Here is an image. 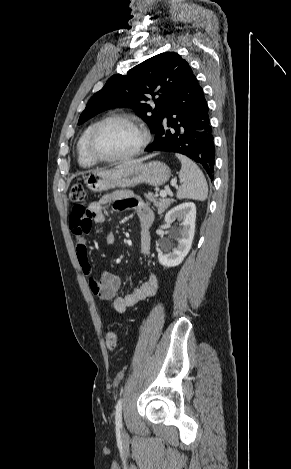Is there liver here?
Instances as JSON below:
<instances>
[{
  "instance_id": "obj_1",
  "label": "liver",
  "mask_w": 291,
  "mask_h": 469,
  "mask_svg": "<svg viewBox=\"0 0 291 469\" xmlns=\"http://www.w3.org/2000/svg\"><path fill=\"white\" fill-rule=\"evenodd\" d=\"M148 158H149V157H144V158L137 159V160L126 161V162H124V163L118 165L117 167L129 165V164H134V163H140V162H143L144 160H146V159H148Z\"/></svg>"
}]
</instances>
